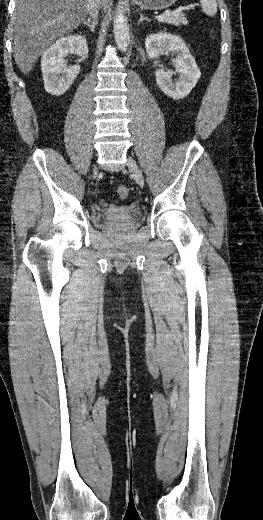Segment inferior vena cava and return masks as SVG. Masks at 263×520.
<instances>
[{
    "mask_svg": "<svg viewBox=\"0 0 263 520\" xmlns=\"http://www.w3.org/2000/svg\"><path fill=\"white\" fill-rule=\"evenodd\" d=\"M100 3H101V0H88V3H87L88 12L95 19H97V16H98V9H99Z\"/></svg>",
    "mask_w": 263,
    "mask_h": 520,
    "instance_id": "obj_1",
    "label": "inferior vena cava"
}]
</instances>
